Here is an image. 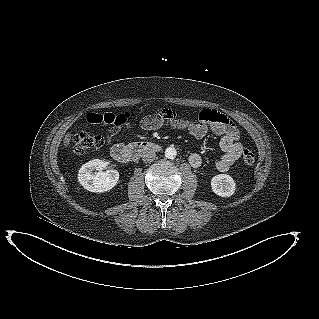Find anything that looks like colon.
Here are the masks:
<instances>
[{"mask_svg":"<svg viewBox=\"0 0 319 319\" xmlns=\"http://www.w3.org/2000/svg\"><path fill=\"white\" fill-rule=\"evenodd\" d=\"M135 118L136 115L130 112L106 113L103 115V121L115 127L131 125ZM102 144L103 138L101 136L79 132L72 137V152L78 155L84 154L99 148ZM242 158L246 164H252L255 161V154L251 150L245 149Z\"/></svg>","mask_w":319,"mask_h":319,"instance_id":"obj_1","label":"colon"}]
</instances>
